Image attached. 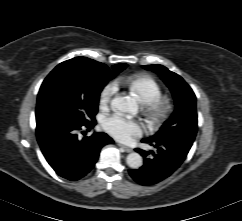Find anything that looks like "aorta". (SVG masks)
I'll use <instances>...</instances> for the list:
<instances>
[{
	"label": "aorta",
	"instance_id": "1",
	"mask_svg": "<svg viewBox=\"0 0 242 221\" xmlns=\"http://www.w3.org/2000/svg\"><path fill=\"white\" fill-rule=\"evenodd\" d=\"M111 105L118 111L126 113H133L137 109L135 100L129 96H117L112 100ZM126 163L130 168L138 169L142 166L143 160L140 154L132 152L127 155Z\"/></svg>",
	"mask_w": 242,
	"mask_h": 221
}]
</instances>
